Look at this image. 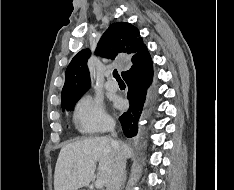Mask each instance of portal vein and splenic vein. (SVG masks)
<instances>
[{
    "instance_id": "1",
    "label": "portal vein and splenic vein",
    "mask_w": 234,
    "mask_h": 190,
    "mask_svg": "<svg viewBox=\"0 0 234 190\" xmlns=\"http://www.w3.org/2000/svg\"><path fill=\"white\" fill-rule=\"evenodd\" d=\"M95 187L97 189H101L103 187V180L102 179H97L95 182Z\"/></svg>"
}]
</instances>
